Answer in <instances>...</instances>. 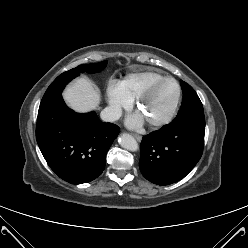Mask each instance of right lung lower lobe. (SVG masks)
Here are the masks:
<instances>
[{
	"label": "right lung lower lobe",
	"mask_w": 248,
	"mask_h": 248,
	"mask_svg": "<svg viewBox=\"0 0 248 248\" xmlns=\"http://www.w3.org/2000/svg\"><path fill=\"white\" fill-rule=\"evenodd\" d=\"M119 127L95 112L75 113L60 95L39 107L36 139L50 168L72 184L87 183L105 168L106 154Z\"/></svg>",
	"instance_id": "1"
}]
</instances>
